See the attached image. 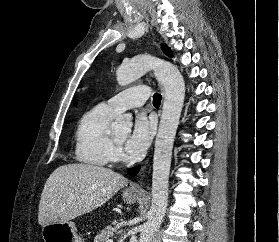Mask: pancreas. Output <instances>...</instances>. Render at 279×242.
<instances>
[{"label": "pancreas", "instance_id": "1", "mask_svg": "<svg viewBox=\"0 0 279 242\" xmlns=\"http://www.w3.org/2000/svg\"><path fill=\"white\" fill-rule=\"evenodd\" d=\"M116 231L117 228L115 226L108 225L102 229L99 234H97V236L94 238V242H107V240L111 238Z\"/></svg>", "mask_w": 279, "mask_h": 242}]
</instances>
